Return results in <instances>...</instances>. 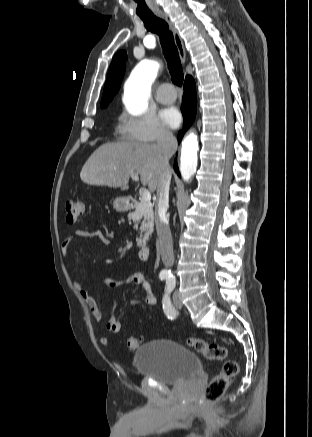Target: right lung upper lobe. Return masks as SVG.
<instances>
[{
    "mask_svg": "<svg viewBox=\"0 0 312 437\" xmlns=\"http://www.w3.org/2000/svg\"><path fill=\"white\" fill-rule=\"evenodd\" d=\"M126 59L127 56L125 51H120L113 57L105 82L103 96L101 99V107H106L113 99L114 95L118 92L125 72Z\"/></svg>",
    "mask_w": 312,
    "mask_h": 437,
    "instance_id": "1",
    "label": "right lung upper lobe"
}]
</instances>
